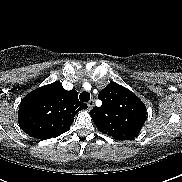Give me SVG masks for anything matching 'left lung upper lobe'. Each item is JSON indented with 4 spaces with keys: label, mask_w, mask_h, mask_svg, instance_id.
I'll return each instance as SVG.
<instances>
[{
    "label": "left lung upper lobe",
    "mask_w": 182,
    "mask_h": 182,
    "mask_svg": "<svg viewBox=\"0 0 182 182\" xmlns=\"http://www.w3.org/2000/svg\"><path fill=\"white\" fill-rule=\"evenodd\" d=\"M98 98L102 106L94 107L90 115L99 131L117 139L138 136L147 112L133 92L112 82L100 91Z\"/></svg>",
    "instance_id": "1"
}]
</instances>
